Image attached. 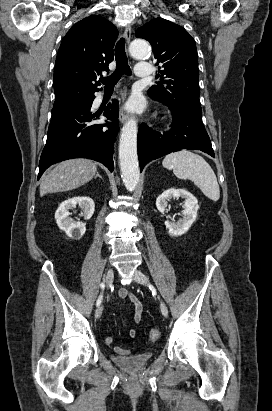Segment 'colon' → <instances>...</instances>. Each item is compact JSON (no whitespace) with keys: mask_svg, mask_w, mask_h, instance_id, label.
I'll use <instances>...</instances> for the list:
<instances>
[{"mask_svg":"<svg viewBox=\"0 0 272 411\" xmlns=\"http://www.w3.org/2000/svg\"><path fill=\"white\" fill-rule=\"evenodd\" d=\"M160 337V331L158 329H151L148 333V339L150 341H156Z\"/></svg>","mask_w":272,"mask_h":411,"instance_id":"obj_1","label":"colon"}]
</instances>
